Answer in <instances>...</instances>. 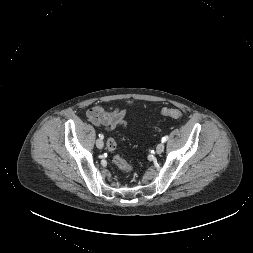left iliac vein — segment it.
I'll return each mask as SVG.
<instances>
[{
	"instance_id": "1",
	"label": "left iliac vein",
	"mask_w": 253,
	"mask_h": 253,
	"mask_svg": "<svg viewBox=\"0 0 253 253\" xmlns=\"http://www.w3.org/2000/svg\"><path fill=\"white\" fill-rule=\"evenodd\" d=\"M164 151V143H159L156 147L157 154H161Z\"/></svg>"
}]
</instances>
